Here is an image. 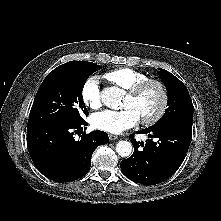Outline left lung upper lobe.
<instances>
[{"mask_svg":"<svg viewBox=\"0 0 221 221\" xmlns=\"http://www.w3.org/2000/svg\"><path fill=\"white\" fill-rule=\"evenodd\" d=\"M158 73L167 88L168 108L163 117L151 128L170 125L192 128L194 108L187 88L172 73L164 69H159Z\"/></svg>","mask_w":221,"mask_h":221,"instance_id":"left-lung-upper-lobe-1","label":"left lung upper lobe"}]
</instances>
